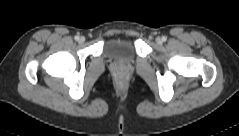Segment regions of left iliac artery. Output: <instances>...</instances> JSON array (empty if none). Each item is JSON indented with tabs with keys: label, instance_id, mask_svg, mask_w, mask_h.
I'll return each instance as SVG.
<instances>
[{
	"label": "left iliac artery",
	"instance_id": "44dca946",
	"mask_svg": "<svg viewBox=\"0 0 239 136\" xmlns=\"http://www.w3.org/2000/svg\"><path fill=\"white\" fill-rule=\"evenodd\" d=\"M167 40V37L163 36L162 41L165 42Z\"/></svg>",
	"mask_w": 239,
	"mask_h": 136
}]
</instances>
